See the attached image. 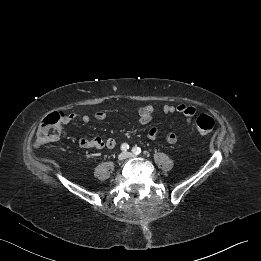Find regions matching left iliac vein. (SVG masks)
<instances>
[{"mask_svg": "<svg viewBox=\"0 0 261 261\" xmlns=\"http://www.w3.org/2000/svg\"><path fill=\"white\" fill-rule=\"evenodd\" d=\"M136 155L134 154V153H132V152H127L126 153V157L127 158H134Z\"/></svg>", "mask_w": 261, "mask_h": 261, "instance_id": "4c4485c4", "label": "left iliac vein"}]
</instances>
